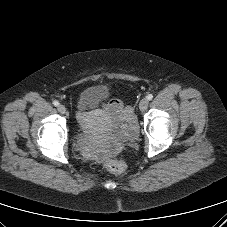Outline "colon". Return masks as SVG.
<instances>
[{"instance_id": "obj_1", "label": "colon", "mask_w": 227, "mask_h": 227, "mask_svg": "<svg viewBox=\"0 0 227 227\" xmlns=\"http://www.w3.org/2000/svg\"><path fill=\"white\" fill-rule=\"evenodd\" d=\"M104 167L114 174H121L125 171L126 164L121 160L107 159L104 162Z\"/></svg>"}]
</instances>
